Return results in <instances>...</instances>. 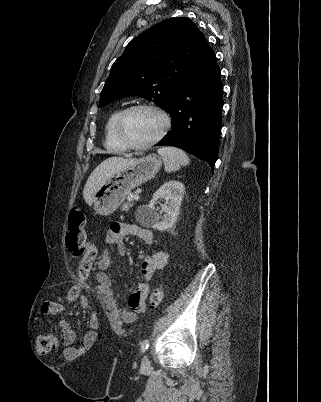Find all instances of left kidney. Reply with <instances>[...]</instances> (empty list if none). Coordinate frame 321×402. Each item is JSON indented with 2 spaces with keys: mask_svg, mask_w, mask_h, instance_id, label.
I'll list each match as a JSON object with an SVG mask.
<instances>
[{
  "mask_svg": "<svg viewBox=\"0 0 321 402\" xmlns=\"http://www.w3.org/2000/svg\"><path fill=\"white\" fill-rule=\"evenodd\" d=\"M185 192L184 185L176 180L164 183L153 195L150 203L138 208L136 219L147 227L160 231L171 228L177 220L181 201ZM165 200L160 214L156 212L155 204ZM165 213L161 218V213Z\"/></svg>",
  "mask_w": 321,
  "mask_h": 402,
  "instance_id": "left-kidney-1",
  "label": "left kidney"
}]
</instances>
